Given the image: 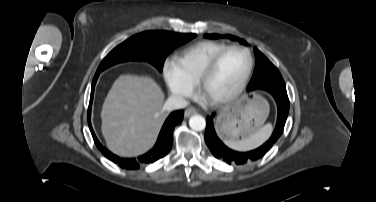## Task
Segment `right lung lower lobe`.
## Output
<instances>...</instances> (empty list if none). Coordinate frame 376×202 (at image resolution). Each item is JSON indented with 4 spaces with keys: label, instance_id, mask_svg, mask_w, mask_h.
Returning a JSON list of instances; mask_svg holds the SVG:
<instances>
[{
    "label": "right lung lower lobe",
    "instance_id": "right-lung-lower-lobe-1",
    "mask_svg": "<svg viewBox=\"0 0 376 202\" xmlns=\"http://www.w3.org/2000/svg\"><path fill=\"white\" fill-rule=\"evenodd\" d=\"M97 78L94 77L93 83H92V89H91V98H90V104H89V111H88V123L90 127V131L92 133L94 142L97 146V148L101 151V153L107 157L109 160L113 161L114 163L118 164L122 168L126 169H138L140 167V164H149L153 163L156 160L164 157L168 154L172 147L173 143V130L175 126L182 122L184 112L182 110L174 111L172 112L169 117L166 119L160 134L158 136V140L153 147L152 150L147 152L146 154L136 158H120L116 156L115 154L111 153L109 150H107L105 147H103L98 139L95 136V133L92 129L91 122H90V112H91V104L94 94V87L96 84Z\"/></svg>",
    "mask_w": 376,
    "mask_h": 202
}]
</instances>
